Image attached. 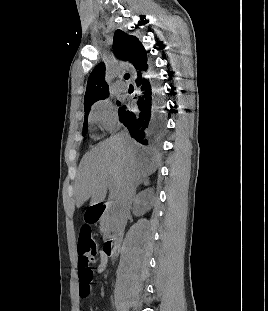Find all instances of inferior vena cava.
<instances>
[{
    "instance_id": "1",
    "label": "inferior vena cava",
    "mask_w": 268,
    "mask_h": 311,
    "mask_svg": "<svg viewBox=\"0 0 268 311\" xmlns=\"http://www.w3.org/2000/svg\"><path fill=\"white\" fill-rule=\"evenodd\" d=\"M124 136V134H121ZM135 194V183L126 181L119 194L118 209L116 212V233L118 238L116 242L119 244L122 241L123 232L126 226L127 217L130 212V206Z\"/></svg>"
}]
</instances>
